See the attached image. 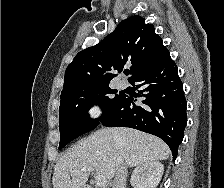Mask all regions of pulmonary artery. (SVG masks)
Wrapping results in <instances>:
<instances>
[{
  "mask_svg": "<svg viewBox=\"0 0 224 188\" xmlns=\"http://www.w3.org/2000/svg\"><path fill=\"white\" fill-rule=\"evenodd\" d=\"M119 87H120L121 89L126 88V87H127V82H126L125 80H120V81H119Z\"/></svg>",
  "mask_w": 224,
  "mask_h": 188,
  "instance_id": "1",
  "label": "pulmonary artery"
}]
</instances>
